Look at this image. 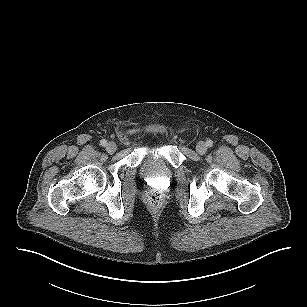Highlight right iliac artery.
Returning <instances> with one entry per match:
<instances>
[{
	"mask_svg": "<svg viewBox=\"0 0 307 307\" xmlns=\"http://www.w3.org/2000/svg\"><path fill=\"white\" fill-rule=\"evenodd\" d=\"M100 145L103 146V147L106 146L107 145V141L105 139L101 140L100 141Z\"/></svg>",
	"mask_w": 307,
	"mask_h": 307,
	"instance_id": "82829eb1",
	"label": "right iliac artery"
}]
</instances>
